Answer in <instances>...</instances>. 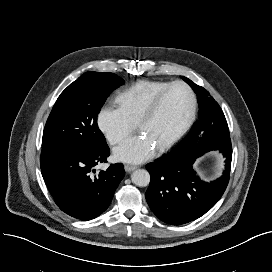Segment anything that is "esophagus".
Segmentation results:
<instances>
[{
	"instance_id": "1",
	"label": "esophagus",
	"mask_w": 272,
	"mask_h": 272,
	"mask_svg": "<svg viewBox=\"0 0 272 272\" xmlns=\"http://www.w3.org/2000/svg\"><path fill=\"white\" fill-rule=\"evenodd\" d=\"M124 168H125V171L129 173V172L134 171V170L137 169L138 167L135 166V165L126 164V165L124 166Z\"/></svg>"
}]
</instances>
